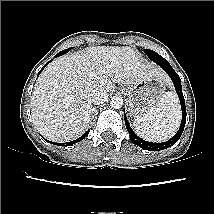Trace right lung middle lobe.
Wrapping results in <instances>:
<instances>
[{
  "instance_id": "right-lung-middle-lobe-1",
  "label": "right lung middle lobe",
  "mask_w": 214,
  "mask_h": 214,
  "mask_svg": "<svg viewBox=\"0 0 214 214\" xmlns=\"http://www.w3.org/2000/svg\"><path fill=\"white\" fill-rule=\"evenodd\" d=\"M68 51H69V49L63 50V51L59 52L57 55L65 54V53L68 52Z\"/></svg>"
}]
</instances>
